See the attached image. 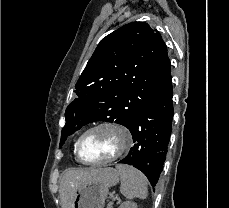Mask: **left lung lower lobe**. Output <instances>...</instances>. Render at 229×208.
Segmentation results:
<instances>
[{
    "mask_svg": "<svg viewBox=\"0 0 229 208\" xmlns=\"http://www.w3.org/2000/svg\"><path fill=\"white\" fill-rule=\"evenodd\" d=\"M172 84L141 110L127 127L133 135V148L119 163L142 171L155 186L163 170L173 119Z\"/></svg>",
    "mask_w": 229,
    "mask_h": 208,
    "instance_id": "0a47b994",
    "label": "left lung lower lobe"
}]
</instances>
